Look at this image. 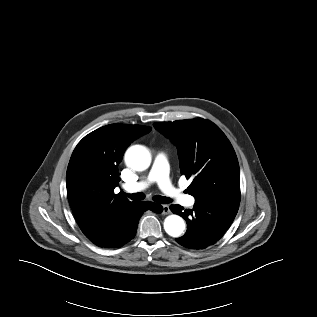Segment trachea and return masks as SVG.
I'll list each match as a JSON object with an SVG mask.
<instances>
[{
  "instance_id": "trachea-1",
  "label": "trachea",
  "mask_w": 317,
  "mask_h": 317,
  "mask_svg": "<svg viewBox=\"0 0 317 317\" xmlns=\"http://www.w3.org/2000/svg\"><path fill=\"white\" fill-rule=\"evenodd\" d=\"M128 198L134 201L143 200L145 198V195L143 193H133V194H127L124 193ZM153 200L160 203V204H168L171 202L170 198L163 197L160 195H156L153 197Z\"/></svg>"
}]
</instances>
